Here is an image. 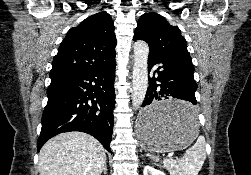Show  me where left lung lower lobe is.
Returning a JSON list of instances; mask_svg holds the SVG:
<instances>
[{
	"mask_svg": "<svg viewBox=\"0 0 251 175\" xmlns=\"http://www.w3.org/2000/svg\"><path fill=\"white\" fill-rule=\"evenodd\" d=\"M163 64L155 71L150 78L145 100L142 104L144 109L140 113V122L144 126H154L165 123L186 122L197 117L198 110L196 105L195 91L197 84L194 80V68L182 63L169 61L163 56L149 53L148 67L149 72L154 64ZM177 98L190 103L157 107L153 106L156 101Z\"/></svg>",
	"mask_w": 251,
	"mask_h": 175,
	"instance_id": "0a47b994",
	"label": "left lung lower lobe"
}]
</instances>
